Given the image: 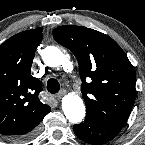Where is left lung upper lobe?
I'll return each instance as SVG.
<instances>
[{
	"label": "left lung upper lobe",
	"instance_id": "1",
	"mask_svg": "<svg viewBox=\"0 0 145 145\" xmlns=\"http://www.w3.org/2000/svg\"><path fill=\"white\" fill-rule=\"evenodd\" d=\"M53 37L78 60L86 117L121 129L136 96L135 69L124 51L109 36L83 26H60Z\"/></svg>",
	"mask_w": 145,
	"mask_h": 145
}]
</instances>
